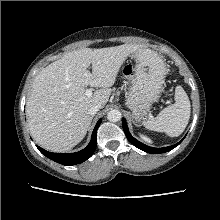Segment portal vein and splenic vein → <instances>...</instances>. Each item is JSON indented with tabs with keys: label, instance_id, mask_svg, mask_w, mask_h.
<instances>
[{
	"label": "portal vein and splenic vein",
	"instance_id": "18ae733b",
	"mask_svg": "<svg viewBox=\"0 0 220 220\" xmlns=\"http://www.w3.org/2000/svg\"><path fill=\"white\" fill-rule=\"evenodd\" d=\"M85 95H86L87 97L92 96V90H91V89H86Z\"/></svg>",
	"mask_w": 220,
	"mask_h": 220
}]
</instances>
